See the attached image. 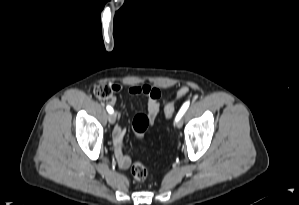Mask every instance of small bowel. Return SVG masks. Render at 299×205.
<instances>
[{
    "label": "small bowel",
    "instance_id": "small-bowel-1",
    "mask_svg": "<svg viewBox=\"0 0 299 205\" xmlns=\"http://www.w3.org/2000/svg\"><path fill=\"white\" fill-rule=\"evenodd\" d=\"M115 91H119L121 86L113 85ZM129 93L132 95H145L148 99L146 116L149 123H153L159 114L161 103V91L159 88L150 85H135L129 88ZM125 136V129L122 126H117L113 131L114 155L118 166L121 169H128L131 165V158L123 152V139Z\"/></svg>",
    "mask_w": 299,
    "mask_h": 205
}]
</instances>
